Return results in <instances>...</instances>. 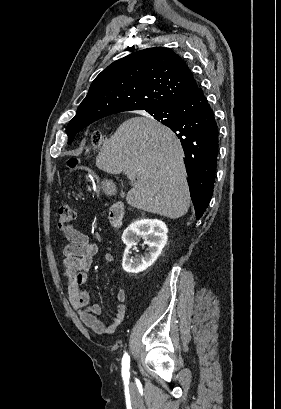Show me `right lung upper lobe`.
Here are the masks:
<instances>
[{"label":"right lung upper lobe","instance_id":"right-lung-upper-lobe-1","mask_svg":"<svg viewBox=\"0 0 281 409\" xmlns=\"http://www.w3.org/2000/svg\"><path fill=\"white\" fill-rule=\"evenodd\" d=\"M197 88L191 71L172 50L144 49L115 61L96 77L67 127L85 128L124 111L164 108Z\"/></svg>","mask_w":281,"mask_h":409}]
</instances>
